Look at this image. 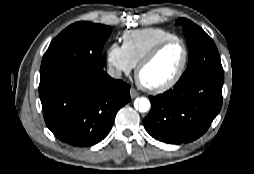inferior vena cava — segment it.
I'll use <instances>...</instances> for the list:
<instances>
[{"label":"inferior vena cava","instance_id":"inferior-vena-cava-1","mask_svg":"<svg viewBox=\"0 0 254 174\" xmlns=\"http://www.w3.org/2000/svg\"><path fill=\"white\" fill-rule=\"evenodd\" d=\"M107 73L109 74V76H111L112 78H115V79H119L122 75L121 70H119L117 68H113V67H110L107 70Z\"/></svg>","mask_w":254,"mask_h":174}]
</instances>
